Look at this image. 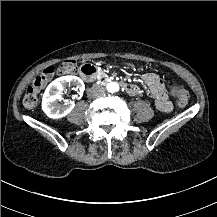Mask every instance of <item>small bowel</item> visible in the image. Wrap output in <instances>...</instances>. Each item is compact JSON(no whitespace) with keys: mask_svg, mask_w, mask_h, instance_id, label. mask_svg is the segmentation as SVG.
Instances as JSON below:
<instances>
[{"mask_svg":"<svg viewBox=\"0 0 217 217\" xmlns=\"http://www.w3.org/2000/svg\"><path fill=\"white\" fill-rule=\"evenodd\" d=\"M142 79L148 86H150V88H152L158 109L165 113L172 111V103L168 100L166 94L164 93L162 82L159 77L154 74H144Z\"/></svg>","mask_w":217,"mask_h":217,"instance_id":"obj_1","label":"small bowel"}]
</instances>
